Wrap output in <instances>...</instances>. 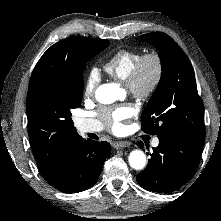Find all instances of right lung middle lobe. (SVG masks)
Returning <instances> with one entry per match:
<instances>
[{
	"mask_svg": "<svg viewBox=\"0 0 221 221\" xmlns=\"http://www.w3.org/2000/svg\"><path fill=\"white\" fill-rule=\"evenodd\" d=\"M108 45V40L83 38L72 65L62 66L41 84L33 104L38 120L73 125L70 111L78 108L82 101L85 63Z\"/></svg>",
	"mask_w": 221,
	"mask_h": 221,
	"instance_id": "dd1d6c3e",
	"label": "right lung middle lobe"
}]
</instances>
